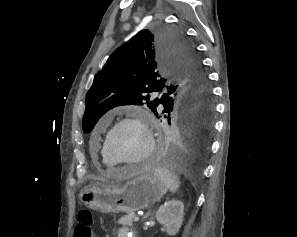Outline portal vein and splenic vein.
Returning a JSON list of instances; mask_svg holds the SVG:
<instances>
[{
    "mask_svg": "<svg viewBox=\"0 0 297 237\" xmlns=\"http://www.w3.org/2000/svg\"><path fill=\"white\" fill-rule=\"evenodd\" d=\"M134 221H139V217H138V216L135 217V218H134Z\"/></svg>",
    "mask_w": 297,
    "mask_h": 237,
    "instance_id": "18ae733b",
    "label": "portal vein and splenic vein"
}]
</instances>
